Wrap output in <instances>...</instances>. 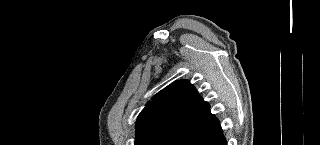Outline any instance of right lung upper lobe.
<instances>
[{"mask_svg": "<svg viewBox=\"0 0 320 145\" xmlns=\"http://www.w3.org/2000/svg\"><path fill=\"white\" fill-rule=\"evenodd\" d=\"M214 117L189 81H176L156 94L139 114L135 145L159 134L176 135Z\"/></svg>", "mask_w": 320, "mask_h": 145, "instance_id": "1", "label": "right lung upper lobe"}]
</instances>
